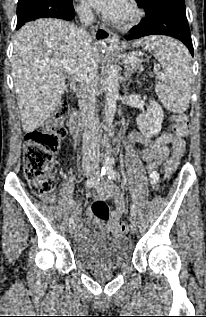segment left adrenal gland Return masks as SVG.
Instances as JSON below:
<instances>
[{"mask_svg":"<svg viewBox=\"0 0 206 317\" xmlns=\"http://www.w3.org/2000/svg\"><path fill=\"white\" fill-rule=\"evenodd\" d=\"M125 68H126V72H125L124 81L128 80L130 78V75L133 73V70L129 68L128 66H126Z\"/></svg>","mask_w":206,"mask_h":317,"instance_id":"obj_1","label":"left adrenal gland"}]
</instances>
